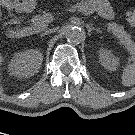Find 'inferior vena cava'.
<instances>
[{"mask_svg":"<svg viewBox=\"0 0 135 135\" xmlns=\"http://www.w3.org/2000/svg\"><path fill=\"white\" fill-rule=\"evenodd\" d=\"M53 32H55V29H50V30H47L44 33H42L41 36H45V35H48V34L53 33Z\"/></svg>","mask_w":135,"mask_h":135,"instance_id":"602c4592","label":"inferior vena cava"}]
</instances>
